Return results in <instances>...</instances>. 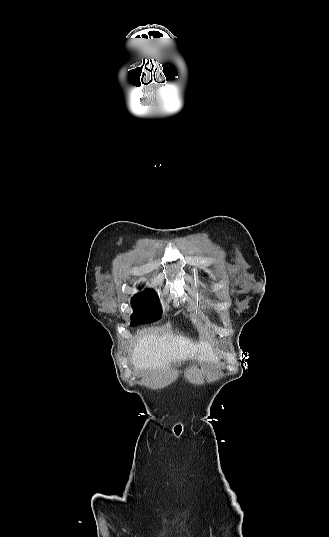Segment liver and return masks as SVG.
<instances>
[{
    "label": "liver",
    "mask_w": 329,
    "mask_h": 537,
    "mask_svg": "<svg viewBox=\"0 0 329 537\" xmlns=\"http://www.w3.org/2000/svg\"><path fill=\"white\" fill-rule=\"evenodd\" d=\"M198 359L217 362V354L208 342L194 343L179 333H167L162 337L143 334L134 344L132 363L139 369H165L171 362Z\"/></svg>",
    "instance_id": "6515ba94"
}]
</instances>
